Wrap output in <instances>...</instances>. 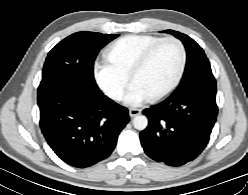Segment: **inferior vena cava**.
I'll return each mask as SVG.
<instances>
[{
    "label": "inferior vena cava",
    "mask_w": 248,
    "mask_h": 195,
    "mask_svg": "<svg viewBox=\"0 0 248 195\" xmlns=\"http://www.w3.org/2000/svg\"><path fill=\"white\" fill-rule=\"evenodd\" d=\"M110 96L113 97V98H117L118 97V93H116V92L110 93Z\"/></svg>",
    "instance_id": "obj_1"
}]
</instances>
